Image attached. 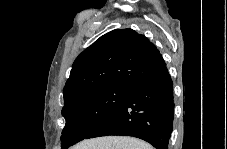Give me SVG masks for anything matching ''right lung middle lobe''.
<instances>
[{
  "label": "right lung middle lobe",
  "instance_id": "obj_1",
  "mask_svg": "<svg viewBox=\"0 0 227 149\" xmlns=\"http://www.w3.org/2000/svg\"><path fill=\"white\" fill-rule=\"evenodd\" d=\"M132 87L107 85L77 98L62 109L66 120L61 148L68 149L87 137L107 120L128 98Z\"/></svg>",
  "mask_w": 227,
  "mask_h": 149
}]
</instances>
